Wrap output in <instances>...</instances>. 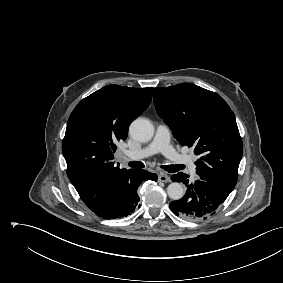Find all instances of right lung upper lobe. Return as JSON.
<instances>
[{"label": "right lung upper lobe", "instance_id": "right-lung-upper-lobe-1", "mask_svg": "<svg viewBox=\"0 0 283 283\" xmlns=\"http://www.w3.org/2000/svg\"><path fill=\"white\" fill-rule=\"evenodd\" d=\"M152 88L108 85L84 98L67 122L62 151L67 175L82 201L95 210L128 190L134 170L112 159L116 144L150 104Z\"/></svg>", "mask_w": 283, "mask_h": 283}]
</instances>
